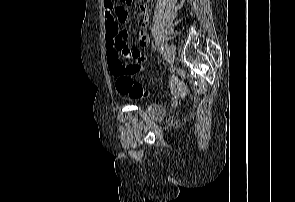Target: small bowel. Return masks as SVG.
<instances>
[{
	"mask_svg": "<svg viewBox=\"0 0 295 202\" xmlns=\"http://www.w3.org/2000/svg\"><path fill=\"white\" fill-rule=\"evenodd\" d=\"M139 10L143 20L137 30V47L126 44L127 35L120 29V25L127 20L128 12L125 6L115 4L114 0L104 1V23L106 27L105 44L107 61L112 72V66L116 63H125L127 60L131 66L132 75L144 70L147 61L146 55L141 51L149 44L148 36V14L149 7L142 3Z\"/></svg>",
	"mask_w": 295,
	"mask_h": 202,
	"instance_id": "small-bowel-1",
	"label": "small bowel"
}]
</instances>
